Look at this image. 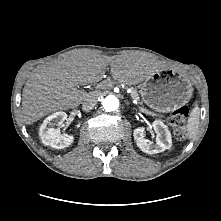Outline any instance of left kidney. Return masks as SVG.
Listing matches in <instances>:
<instances>
[{
    "label": "left kidney",
    "instance_id": "1",
    "mask_svg": "<svg viewBox=\"0 0 221 221\" xmlns=\"http://www.w3.org/2000/svg\"><path fill=\"white\" fill-rule=\"evenodd\" d=\"M151 126L157 133L156 145L144 137L145 128L138 127L134 129L133 132L137 146L147 154H156L170 149L172 146V138L168 127L159 120L154 121Z\"/></svg>",
    "mask_w": 221,
    "mask_h": 221
}]
</instances>
